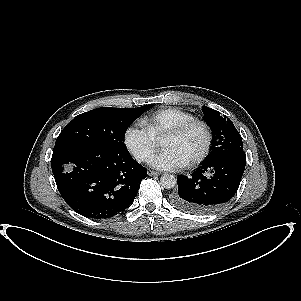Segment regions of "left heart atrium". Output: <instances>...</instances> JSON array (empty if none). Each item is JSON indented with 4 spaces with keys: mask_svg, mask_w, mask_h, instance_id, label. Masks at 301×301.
<instances>
[{
    "mask_svg": "<svg viewBox=\"0 0 301 301\" xmlns=\"http://www.w3.org/2000/svg\"><path fill=\"white\" fill-rule=\"evenodd\" d=\"M149 164L159 170L176 171L184 168L187 161L170 149H163L149 159Z\"/></svg>",
    "mask_w": 301,
    "mask_h": 301,
    "instance_id": "left-heart-atrium-1",
    "label": "left heart atrium"
}]
</instances>
